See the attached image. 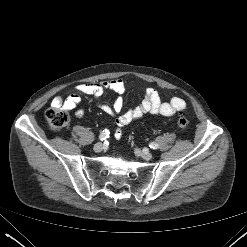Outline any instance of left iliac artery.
<instances>
[{"instance_id": "left-iliac-artery-1", "label": "left iliac artery", "mask_w": 247, "mask_h": 247, "mask_svg": "<svg viewBox=\"0 0 247 247\" xmlns=\"http://www.w3.org/2000/svg\"><path fill=\"white\" fill-rule=\"evenodd\" d=\"M149 146L152 149H158L159 148V145L157 143H155V142H151Z\"/></svg>"}]
</instances>
